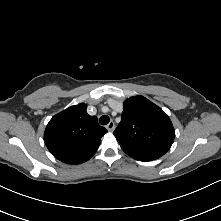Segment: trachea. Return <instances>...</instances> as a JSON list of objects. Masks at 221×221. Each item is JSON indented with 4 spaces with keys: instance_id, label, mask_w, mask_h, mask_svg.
<instances>
[{
    "instance_id": "trachea-1",
    "label": "trachea",
    "mask_w": 221,
    "mask_h": 221,
    "mask_svg": "<svg viewBox=\"0 0 221 221\" xmlns=\"http://www.w3.org/2000/svg\"><path fill=\"white\" fill-rule=\"evenodd\" d=\"M110 119L107 115H102L99 119V122L101 125H107L109 123Z\"/></svg>"
}]
</instances>
